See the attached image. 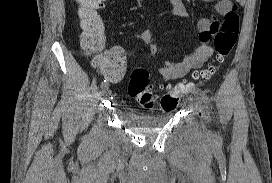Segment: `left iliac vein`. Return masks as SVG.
<instances>
[{
    "label": "left iliac vein",
    "mask_w": 272,
    "mask_h": 183,
    "mask_svg": "<svg viewBox=\"0 0 272 183\" xmlns=\"http://www.w3.org/2000/svg\"><path fill=\"white\" fill-rule=\"evenodd\" d=\"M190 101L192 102V104L195 106V109L199 112H202V107H201V101L199 99H195V98H190ZM203 128H204V124H202Z\"/></svg>",
    "instance_id": "left-iliac-vein-1"
}]
</instances>
